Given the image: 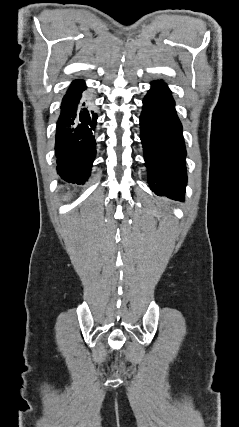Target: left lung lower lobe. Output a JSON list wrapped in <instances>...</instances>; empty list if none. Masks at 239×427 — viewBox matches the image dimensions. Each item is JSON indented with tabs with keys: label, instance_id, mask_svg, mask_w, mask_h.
<instances>
[{
	"label": "left lung lower lobe",
	"instance_id": "1",
	"mask_svg": "<svg viewBox=\"0 0 239 427\" xmlns=\"http://www.w3.org/2000/svg\"><path fill=\"white\" fill-rule=\"evenodd\" d=\"M140 129L151 190L183 201L187 174L182 125L171 91L162 81L152 82L143 100Z\"/></svg>",
	"mask_w": 239,
	"mask_h": 427
}]
</instances>
